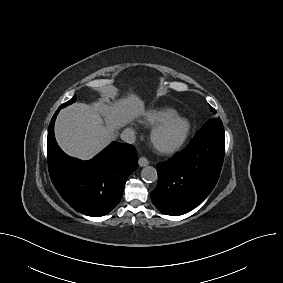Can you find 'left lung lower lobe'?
<instances>
[{
	"label": "left lung lower lobe",
	"instance_id": "left-lung-lower-lobe-1",
	"mask_svg": "<svg viewBox=\"0 0 283 283\" xmlns=\"http://www.w3.org/2000/svg\"><path fill=\"white\" fill-rule=\"evenodd\" d=\"M224 152L225 137L196 134L184 150L159 163L158 183L151 192L156 208L182 215L202 203L218 181Z\"/></svg>",
	"mask_w": 283,
	"mask_h": 283
}]
</instances>
